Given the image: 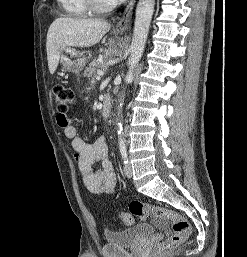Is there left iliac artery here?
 <instances>
[{
    "mask_svg": "<svg viewBox=\"0 0 247 257\" xmlns=\"http://www.w3.org/2000/svg\"><path fill=\"white\" fill-rule=\"evenodd\" d=\"M119 149H120V153H121L122 159L124 160V163L127 164L128 163L127 148H126V144H125V140L124 139H120V141H119Z\"/></svg>",
    "mask_w": 247,
    "mask_h": 257,
    "instance_id": "obj_1",
    "label": "left iliac artery"
}]
</instances>
